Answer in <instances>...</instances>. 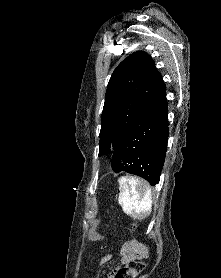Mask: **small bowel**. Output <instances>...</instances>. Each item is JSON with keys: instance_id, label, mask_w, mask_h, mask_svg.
<instances>
[{"instance_id": "c3829d8e", "label": "small bowel", "mask_w": 221, "mask_h": 278, "mask_svg": "<svg viewBox=\"0 0 221 278\" xmlns=\"http://www.w3.org/2000/svg\"><path fill=\"white\" fill-rule=\"evenodd\" d=\"M120 252H121L120 262L123 266H125L129 261L135 258H138L140 256H147L146 249L136 242H127L123 244ZM110 259H111V255L104 256L101 259L100 264L103 265L107 263ZM105 278H116V274L113 273L109 274Z\"/></svg>"}]
</instances>
